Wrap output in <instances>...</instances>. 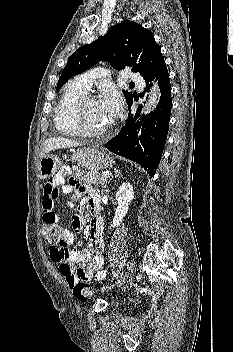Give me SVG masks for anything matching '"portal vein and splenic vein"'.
Masks as SVG:
<instances>
[{"mask_svg": "<svg viewBox=\"0 0 233 352\" xmlns=\"http://www.w3.org/2000/svg\"><path fill=\"white\" fill-rule=\"evenodd\" d=\"M109 175H111V173H109V172H104V173H102L101 176H103V177H108Z\"/></svg>", "mask_w": 233, "mask_h": 352, "instance_id": "obj_1", "label": "portal vein and splenic vein"}]
</instances>
